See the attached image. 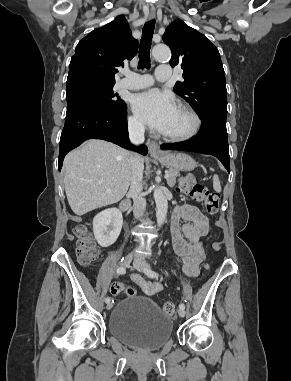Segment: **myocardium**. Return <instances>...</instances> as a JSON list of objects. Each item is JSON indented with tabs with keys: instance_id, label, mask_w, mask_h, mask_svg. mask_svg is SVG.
I'll return each instance as SVG.
<instances>
[{
	"instance_id": "f54148a6",
	"label": "myocardium",
	"mask_w": 291,
	"mask_h": 381,
	"mask_svg": "<svg viewBox=\"0 0 291 381\" xmlns=\"http://www.w3.org/2000/svg\"><path fill=\"white\" fill-rule=\"evenodd\" d=\"M179 108L184 110L192 119V126L186 133L178 134V135H171V134H165L162 133V136L170 141L174 142H184L191 140L194 138L200 131L202 126V120L198 112L189 104L180 103L178 105Z\"/></svg>"
}]
</instances>
